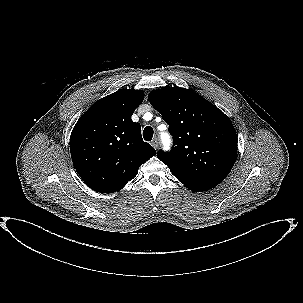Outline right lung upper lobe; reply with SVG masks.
I'll list each match as a JSON object with an SVG mask.
<instances>
[{
    "mask_svg": "<svg viewBox=\"0 0 303 303\" xmlns=\"http://www.w3.org/2000/svg\"><path fill=\"white\" fill-rule=\"evenodd\" d=\"M143 99L142 90H118L94 103L74 126L70 136L73 165L92 190H121L156 155L143 141L140 124L131 119Z\"/></svg>",
    "mask_w": 303,
    "mask_h": 303,
    "instance_id": "right-lung-upper-lobe-1",
    "label": "right lung upper lobe"
}]
</instances>
